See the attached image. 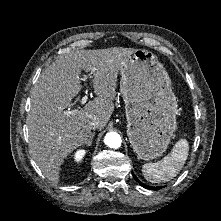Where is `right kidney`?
Returning <instances> with one entry per match:
<instances>
[{"label": "right kidney", "instance_id": "right-kidney-1", "mask_svg": "<svg viewBox=\"0 0 221 221\" xmlns=\"http://www.w3.org/2000/svg\"><path fill=\"white\" fill-rule=\"evenodd\" d=\"M85 153H86V151L83 150V149L77 150V151L74 153V157H73L74 160H75L76 162L81 161L82 158L84 157Z\"/></svg>", "mask_w": 221, "mask_h": 221}]
</instances>
